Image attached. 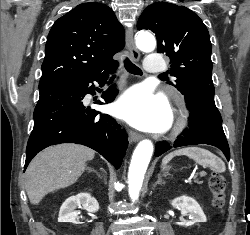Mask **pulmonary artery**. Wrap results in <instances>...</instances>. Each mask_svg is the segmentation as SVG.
I'll use <instances>...</instances> for the list:
<instances>
[{
  "label": "pulmonary artery",
  "mask_w": 250,
  "mask_h": 235,
  "mask_svg": "<svg viewBox=\"0 0 250 235\" xmlns=\"http://www.w3.org/2000/svg\"><path fill=\"white\" fill-rule=\"evenodd\" d=\"M144 68L149 73H160L166 69V64L160 53L152 52L147 55Z\"/></svg>",
  "instance_id": "1"
}]
</instances>
